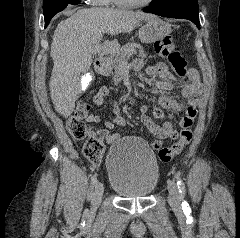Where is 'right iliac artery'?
I'll list each match as a JSON object with an SVG mask.
<instances>
[{
  "label": "right iliac artery",
  "mask_w": 240,
  "mask_h": 238,
  "mask_svg": "<svg viewBox=\"0 0 240 238\" xmlns=\"http://www.w3.org/2000/svg\"><path fill=\"white\" fill-rule=\"evenodd\" d=\"M97 183V175L94 174L91 178V185L92 187Z\"/></svg>",
  "instance_id": "right-iliac-artery-1"
}]
</instances>
